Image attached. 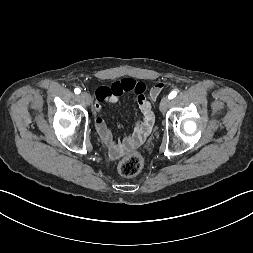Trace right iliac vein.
<instances>
[{"label":"right iliac vein","instance_id":"right-iliac-vein-1","mask_svg":"<svg viewBox=\"0 0 253 253\" xmlns=\"http://www.w3.org/2000/svg\"><path fill=\"white\" fill-rule=\"evenodd\" d=\"M80 98L86 103V104H90L91 102V97L89 94L85 93V92H82L80 94Z\"/></svg>","mask_w":253,"mask_h":253}]
</instances>
